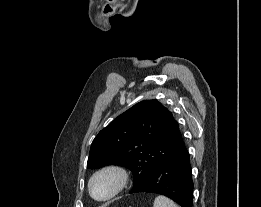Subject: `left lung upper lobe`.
Returning a JSON list of instances; mask_svg holds the SVG:
<instances>
[{"mask_svg":"<svg viewBox=\"0 0 261 207\" xmlns=\"http://www.w3.org/2000/svg\"><path fill=\"white\" fill-rule=\"evenodd\" d=\"M172 113L157 100L137 103L99 132L87 167L121 165L133 172V185L151 175L182 147Z\"/></svg>","mask_w":261,"mask_h":207,"instance_id":"1","label":"left lung upper lobe"}]
</instances>
